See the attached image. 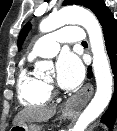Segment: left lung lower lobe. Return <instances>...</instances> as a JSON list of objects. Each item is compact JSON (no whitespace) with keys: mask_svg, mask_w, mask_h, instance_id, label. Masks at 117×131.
Returning <instances> with one entry per match:
<instances>
[{"mask_svg":"<svg viewBox=\"0 0 117 131\" xmlns=\"http://www.w3.org/2000/svg\"><path fill=\"white\" fill-rule=\"evenodd\" d=\"M97 18L102 26L107 54L114 74V93L106 113L102 116V122L113 126L117 117V21L107 6L98 13ZM92 76L89 67L88 78Z\"/></svg>","mask_w":117,"mask_h":131,"instance_id":"1","label":"left lung lower lobe"}]
</instances>
